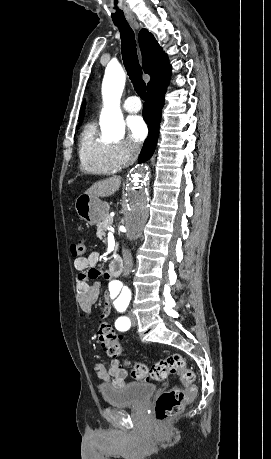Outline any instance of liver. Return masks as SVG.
Masks as SVG:
<instances>
[{
    "mask_svg": "<svg viewBox=\"0 0 271 459\" xmlns=\"http://www.w3.org/2000/svg\"><path fill=\"white\" fill-rule=\"evenodd\" d=\"M121 186L120 176H113V178H107V180H100L95 182L85 194L91 196V198H106V196H112Z\"/></svg>",
    "mask_w": 271,
    "mask_h": 459,
    "instance_id": "1",
    "label": "liver"
}]
</instances>
